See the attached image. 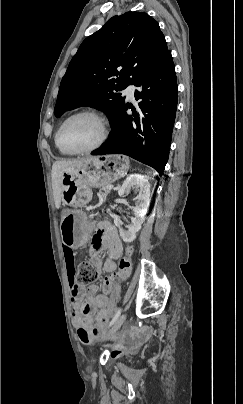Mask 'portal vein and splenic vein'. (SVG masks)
Masks as SVG:
<instances>
[{"mask_svg":"<svg viewBox=\"0 0 243 404\" xmlns=\"http://www.w3.org/2000/svg\"><path fill=\"white\" fill-rule=\"evenodd\" d=\"M113 186H106V190H112Z\"/></svg>","mask_w":243,"mask_h":404,"instance_id":"18ae733b","label":"portal vein and splenic vein"}]
</instances>
